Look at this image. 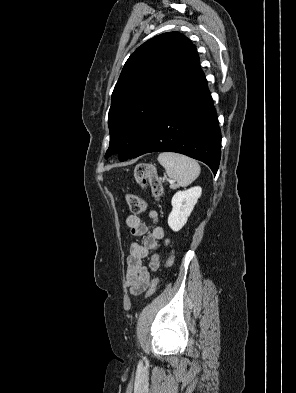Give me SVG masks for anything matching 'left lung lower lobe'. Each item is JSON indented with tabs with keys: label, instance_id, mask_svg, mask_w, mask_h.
Returning <instances> with one entry per match:
<instances>
[{
	"label": "left lung lower lobe",
	"instance_id": "1",
	"mask_svg": "<svg viewBox=\"0 0 296 393\" xmlns=\"http://www.w3.org/2000/svg\"><path fill=\"white\" fill-rule=\"evenodd\" d=\"M150 152L181 153L217 173L221 132L202 70L166 106L128 159Z\"/></svg>",
	"mask_w": 296,
	"mask_h": 393
}]
</instances>
